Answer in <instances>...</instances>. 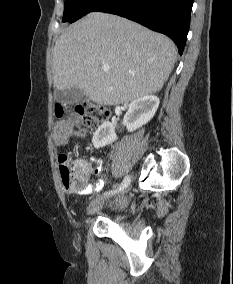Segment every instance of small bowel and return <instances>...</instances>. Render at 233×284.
Returning a JSON list of instances; mask_svg holds the SVG:
<instances>
[{
  "instance_id": "c3829d8e",
  "label": "small bowel",
  "mask_w": 233,
  "mask_h": 284,
  "mask_svg": "<svg viewBox=\"0 0 233 284\" xmlns=\"http://www.w3.org/2000/svg\"><path fill=\"white\" fill-rule=\"evenodd\" d=\"M70 134H71L70 126L66 124L58 125L56 135L60 142H63ZM76 135L82 136L83 134L81 132H77ZM75 161L77 165L81 168L82 172L87 177L91 175L97 177L96 181L93 184L77 192L81 194H89L100 191L104 186V178L102 175L101 162L97 158H91V159L78 158Z\"/></svg>"
}]
</instances>
